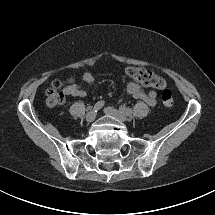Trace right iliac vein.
Listing matches in <instances>:
<instances>
[{"label": "right iliac vein", "instance_id": "63e3f726", "mask_svg": "<svg viewBox=\"0 0 215 215\" xmlns=\"http://www.w3.org/2000/svg\"><path fill=\"white\" fill-rule=\"evenodd\" d=\"M96 115L97 112L94 109H92L86 114L85 119L87 122H92L96 118Z\"/></svg>", "mask_w": 215, "mask_h": 215}]
</instances>
